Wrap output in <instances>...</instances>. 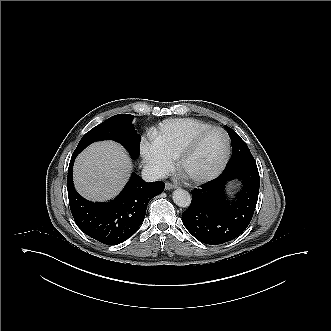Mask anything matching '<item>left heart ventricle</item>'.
Wrapping results in <instances>:
<instances>
[{
  "label": "left heart ventricle",
  "instance_id": "b2bd125f",
  "mask_svg": "<svg viewBox=\"0 0 331 331\" xmlns=\"http://www.w3.org/2000/svg\"><path fill=\"white\" fill-rule=\"evenodd\" d=\"M225 142L220 132L205 135L184 163V172L188 176L206 175L220 163Z\"/></svg>",
  "mask_w": 331,
  "mask_h": 331
}]
</instances>
